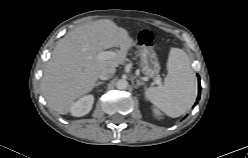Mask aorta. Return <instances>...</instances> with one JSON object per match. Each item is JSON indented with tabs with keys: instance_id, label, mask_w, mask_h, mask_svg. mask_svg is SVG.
I'll list each match as a JSON object with an SVG mask.
<instances>
[{
	"instance_id": "aorta-1",
	"label": "aorta",
	"mask_w": 248,
	"mask_h": 158,
	"mask_svg": "<svg viewBox=\"0 0 248 158\" xmlns=\"http://www.w3.org/2000/svg\"><path fill=\"white\" fill-rule=\"evenodd\" d=\"M128 81L126 79H119L116 83L118 89H126L128 87Z\"/></svg>"
}]
</instances>
